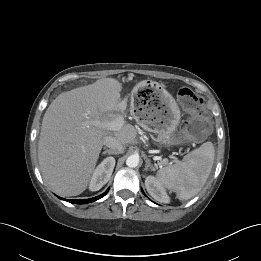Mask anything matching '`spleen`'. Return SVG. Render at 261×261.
Segmentation results:
<instances>
[{
	"mask_svg": "<svg viewBox=\"0 0 261 261\" xmlns=\"http://www.w3.org/2000/svg\"><path fill=\"white\" fill-rule=\"evenodd\" d=\"M215 157L211 142L185 155L183 160L160 169L157 180L170 191L176 192L179 200L194 197L204 186L211 172Z\"/></svg>",
	"mask_w": 261,
	"mask_h": 261,
	"instance_id": "1",
	"label": "spleen"
}]
</instances>
